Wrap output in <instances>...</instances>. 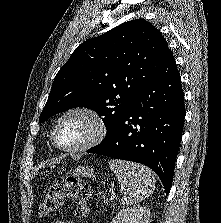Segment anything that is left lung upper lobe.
Here are the masks:
<instances>
[{
    "label": "left lung upper lobe",
    "mask_w": 221,
    "mask_h": 223,
    "mask_svg": "<svg viewBox=\"0 0 221 223\" xmlns=\"http://www.w3.org/2000/svg\"><path fill=\"white\" fill-rule=\"evenodd\" d=\"M168 52L162 33L145 19L125 22L83 42L57 73L39 121L86 107L103 116L106 139L161 70Z\"/></svg>",
    "instance_id": "5c2ea615"
}]
</instances>
